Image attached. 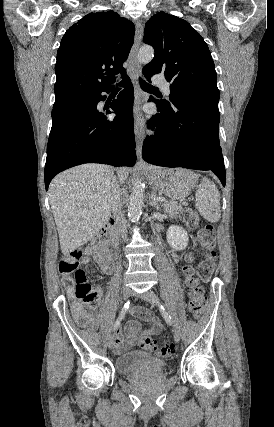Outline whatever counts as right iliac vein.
<instances>
[{"label": "right iliac vein", "mask_w": 274, "mask_h": 427, "mask_svg": "<svg viewBox=\"0 0 274 427\" xmlns=\"http://www.w3.org/2000/svg\"><path fill=\"white\" fill-rule=\"evenodd\" d=\"M122 293H123L124 300H127L131 296V290L126 286L122 287ZM114 345H115V336L114 334H111L108 341L109 349H113Z\"/></svg>", "instance_id": "obj_1"}]
</instances>
